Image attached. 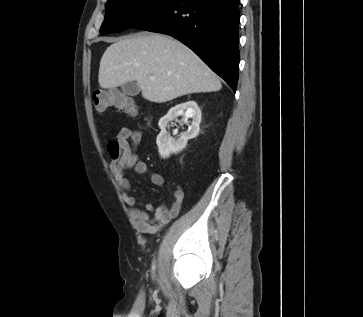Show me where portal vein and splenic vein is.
Returning a JSON list of instances; mask_svg holds the SVG:
<instances>
[{"label": "portal vein and splenic vein", "mask_w": 363, "mask_h": 317, "mask_svg": "<svg viewBox=\"0 0 363 317\" xmlns=\"http://www.w3.org/2000/svg\"><path fill=\"white\" fill-rule=\"evenodd\" d=\"M149 79H150L151 81H154L156 78H155L154 76H149Z\"/></svg>", "instance_id": "portal-vein-and-splenic-vein-1"}]
</instances>
